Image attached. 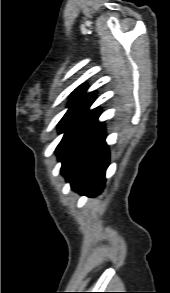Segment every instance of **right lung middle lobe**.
Returning <instances> with one entry per match:
<instances>
[{
  "label": "right lung middle lobe",
  "instance_id": "right-lung-middle-lobe-1",
  "mask_svg": "<svg viewBox=\"0 0 170 293\" xmlns=\"http://www.w3.org/2000/svg\"><path fill=\"white\" fill-rule=\"evenodd\" d=\"M100 109L88 111V108L69 110L58 124L59 132H65L56 149L62 162L61 171L78 156L82 148L91 139L101 123L98 122Z\"/></svg>",
  "mask_w": 170,
  "mask_h": 293
}]
</instances>
